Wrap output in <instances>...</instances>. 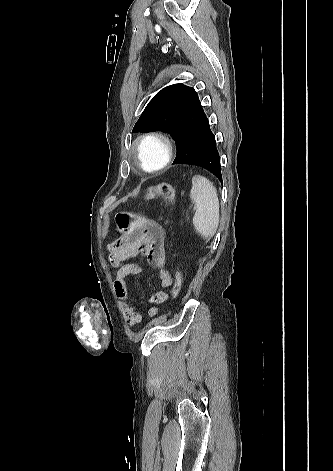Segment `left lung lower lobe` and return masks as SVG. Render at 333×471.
<instances>
[{
	"label": "left lung lower lobe",
	"instance_id": "obj_1",
	"mask_svg": "<svg viewBox=\"0 0 333 471\" xmlns=\"http://www.w3.org/2000/svg\"><path fill=\"white\" fill-rule=\"evenodd\" d=\"M173 164H191L203 167L212 172L222 183L220 157L215 136L210 130L206 116L196 127L187 145L177 154Z\"/></svg>",
	"mask_w": 333,
	"mask_h": 471
}]
</instances>
